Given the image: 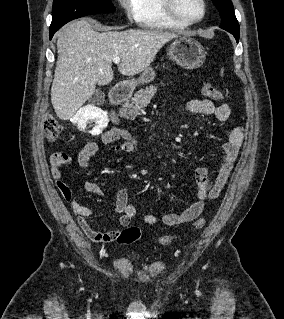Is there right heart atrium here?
<instances>
[{
    "label": "right heart atrium",
    "instance_id": "d8ad5b80",
    "mask_svg": "<svg viewBox=\"0 0 284 319\" xmlns=\"http://www.w3.org/2000/svg\"><path fill=\"white\" fill-rule=\"evenodd\" d=\"M137 0H117L118 5L129 20H135Z\"/></svg>",
    "mask_w": 284,
    "mask_h": 319
}]
</instances>
